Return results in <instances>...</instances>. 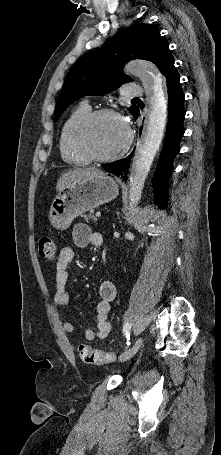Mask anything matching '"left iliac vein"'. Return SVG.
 Segmentation results:
<instances>
[{"mask_svg": "<svg viewBox=\"0 0 221 455\" xmlns=\"http://www.w3.org/2000/svg\"><path fill=\"white\" fill-rule=\"evenodd\" d=\"M142 344H143V338H139L133 344V346L119 358V361L124 362V361H127L130 358H132L137 353V351L140 349Z\"/></svg>", "mask_w": 221, "mask_h": 455, "instance_id": "1", "label": "left iliac vein"}]
</instances>
